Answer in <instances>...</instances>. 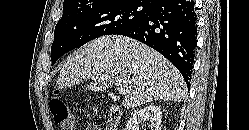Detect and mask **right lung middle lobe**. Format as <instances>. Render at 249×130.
I'll list each match as a JSON object with an SVG mask.
<instances>
[{
    "label": "right lung middle lobe",
    "instance_id": "1",
    "mask_svg": "<svg viewBox=\"0 0 249 130\" xmlns=\"http://www.w3.org/2000/svg\"><path fill=\"white\" fill-rule=\"evenodd\" d=\"M150 5L134 0H111L63 12L51 47L54 64L65 53L109 34H119L148 16Z\"/></svg>",
    "mask_w": 249,
    "mask_h": 130
}]
</instances>
